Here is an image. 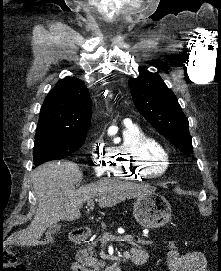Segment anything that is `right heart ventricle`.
<instances>
[{"instance_id":"obj_1","label":"right heart ventricle","mask_w":221,"mask_h":271,"mask_svg":"<svg viewBox=\"0 0 221 271\" xmlns=\"http://www.w3.org/2000/svg\"><path fill=\"white\" fill-rule=\"evenodd\" d=\"M119 158H109L108 169L119 179H155L161 173L168 176L171 167L163 163H174L167 158L165 143L157 136L140 133L132 139H123ZM169 150V149H168ZM137 172V173H136Z\"/></svg>"}]
</instances>
